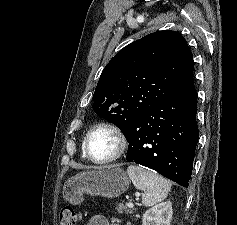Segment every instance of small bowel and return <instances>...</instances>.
Segmentation results:
<instances>
[{
	"label": "small bowel",
	"instance_id": "small-bowel-1",
	"mask_svg": "<svg viewBox=\"0 0 237 225\" xmlns=\"http://www.w3.org/2000/svg\"><path fill=\"white\" fill-rule=\"evenodd\" d=\"M87 225H118V224L111 222L109 219H107L103 215H96V216H93L88 221Z\"/></svg>",
	"mask_w": 237,
	"mask_h": 225
}]
</instances>
